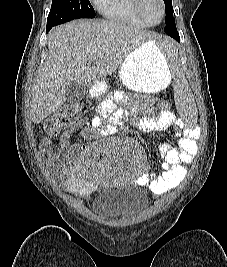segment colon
<instances>
[{
    "mask_svg": "<svg viewBox=\"0 0 227 267\" xmlns=\"http://www.w3.org/2000/svg\"><path fill=\"white\" fill-rule=\"evenodd\" d=\"M159 109H172L171 100H161ZM82 111V105L75 104L51 115L44 124L45 134L50 137L57 136L61 131L72 125Z\"/></svg>",
    "mask_w": 227,
    "mask_h": 267,
    "instance_id": "1",
    "label": "colon"
}]
</instances>
